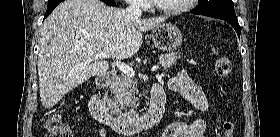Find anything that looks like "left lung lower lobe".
Listing matches in <instances>:
<instances>
[{"label": "left lung lower lobe", "mask_w": 280, "mask_h": 137, "mask_svg": "<svg viewBox=\"0 0 280 137\" xmlns=\"http://www.w3.org/2000/svg\"><path fill=\"white\" fill-rule=\"evenodd\" d=\"M192 13L218 18L228 22L235 29V31L238 34V37L240 38V25L238 23L237 17L222 15V14H213V13H198V12H192Z\"/></svg>", "instance_id": "left-lung-lower-lobe-1"}]
</instances>
